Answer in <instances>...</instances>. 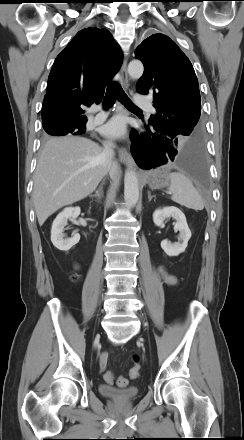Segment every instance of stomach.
I'll list each match as a JSON object with an SVG mask.
<instances>
[{"instance_id": "1", "label": "stomach", "mask_w": 244, "mask_h": 440, "mask_svg": "<svg viewBox=\"0 0 244 440\" xmlns=\"http://www.w3.org/2000/svg\"><path fill=\"white\" fill-rule=\"evenodd\" d=\"M169 169L160 167L148 173V184L152 189L163 188L168 184Z\"/></svg>"}]
</instances>
